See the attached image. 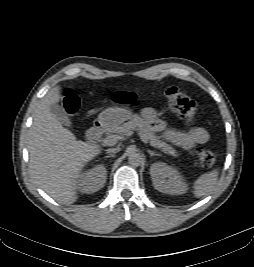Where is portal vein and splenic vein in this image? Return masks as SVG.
I'll return each instance as SVG.
<instances>
[{
	"instance_id": "portal-vein-and-splenic-vein-1",
	"label": "portal vein and splenic vein",
	"mask_w": 254,
	"mask_h": 267,
	"mask_svg": "<svg viewBox=\"0 0 254 267\" xmlns=\"http://www.w3.org/2000/svg\"><path fill=\"white\" fill-rule=\"evenodd\" d=\"M140 137H141L143 142L147 143L145 137H142L141 135H140ZM118 139H120V136L113 135L111 137H107L104 140V143L108 146H113L117 143Z\"/></svg>"
}]
</instances>
